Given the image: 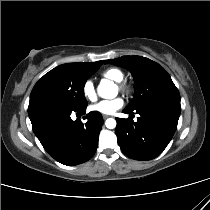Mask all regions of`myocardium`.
Returning a JSON list of instances; mask_svg holds the SVG:
<instances>
[{
    "instance_id": "myocardium-1",
    "label": "myocardium",
    "mask_w": 210,
    "mask_h": 210,
    "mask_svg": "<svg viewBox=\"0 0 210 210\" xmlns=\"http://www.w3.org/2000/svg\"><path fill=\"white\" fill-rule=\"evenodd\" d=\"M118 88L122 92H129V90H130L129 85L123 81L118 82Z\"/></svg>"
}]
</instances>
